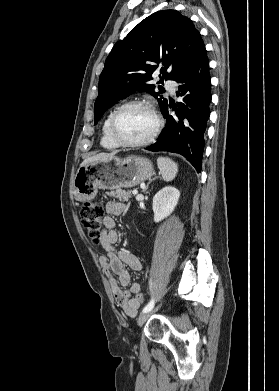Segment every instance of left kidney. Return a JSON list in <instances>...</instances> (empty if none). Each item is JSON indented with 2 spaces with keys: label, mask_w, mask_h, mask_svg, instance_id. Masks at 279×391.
<instances>
[{
  "label": "left kidney",
  "mask_w": 279,
  "mask_h": 391,
  "mask_svg": "<svg viewBox=\"0 0 279 391\" xmlns=\"http://www.w3.org/2000/svg\"><path fill=\"white\" fill-rule=\"evenodd\" d=\"M180 197L178 189L172 186L162 188L153 197L154 221L160 222L175 209Z\"/></svg>",
  "instance_id": "left-kidney-1"
}]
</instances>
